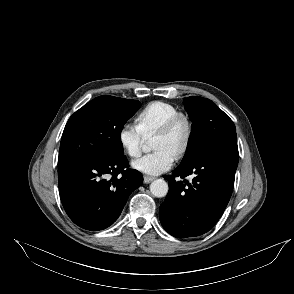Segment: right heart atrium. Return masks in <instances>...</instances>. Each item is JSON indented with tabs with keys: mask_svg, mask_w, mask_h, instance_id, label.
Returning a JSON list of instances; mask_svg holds the SVG:
<instances>
[{
	"mask_svg": "<svg viewBox=\"0 0 294 294\" xmlns=\"http://www.w3.org/2000/svg\"><path fill=\"white\" fill-rule=\"evenodd\" d=\"M144 135L137 125L124 123L118 132V142L124 152L132 157H138L141 153Z\"/></svg>",
	"mask_w": 294,
	"mask_h": 294,
	"instance_id": "right-heart-atrium-1",
	"label": "right heart atrium"
}]
</instances>
